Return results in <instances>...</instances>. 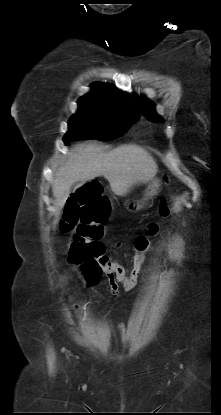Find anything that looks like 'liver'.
Returning <instances> with one entry per match:
<instances>
[{
  "instance_id": "1",
  "label": "liver",
  "mask_w": 221,
  "mask_h": 415,
  "mask_svg": "<svg viewBox=\"0 0 221 415\" xmlns=\"http://www.w3.org/2000/svg\"><path fill=\"white\" fill-rule=\"evenodd\" d=\"M158 166L152 156L136 145H123L103 152L97 145H77L69 160L60 166L52 183L58 209L63 208L73 183L104 176L114 194L125 196L140 183L152 180Z\"/></svg>"
}]
</instances>
